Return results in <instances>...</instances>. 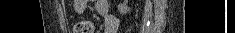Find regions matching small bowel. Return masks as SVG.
Returning a JSON list of instances; mask_svg holds the SVG:
<instances>
[{"label":"small bowel","mask_w":235,"mask_h":33,"mask_svg":"<svg viewBox=\"0 0 235 33\" xmlns=\"http://www.w3.org/2000/svg\"><path fill=\"white\" fill-rule=\"evenodd\" d=\"M86 3V0H77L75 2V8L78 11H82L85 8ZM95 9L104 18L105 33H116L118 22L114 16L109 14L107 1L97 0L95 2Z\"/></svg>","instance_id":"small-bowel-1"}]
</instances>
